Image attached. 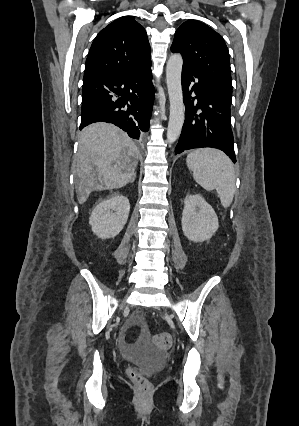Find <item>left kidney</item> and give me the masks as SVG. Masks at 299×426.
Here are the masks:
<instances>
[{
	"label": "left kidney",
	"instance_id": "5707ae66",
	"mask_svg": "<svg viewBox=\"0 0 299 426\" xmlns=\"http://www.w3.org/2000/svg\"><path fill=\"white\" fill-rule=\"evenodd\" d=\"M181 224L184 235L193 242L210 239L219 227L212 206L198 194L185 197Z\"/></svg>",
	"mask_w": 299,
	"mask_h": 426
}]
</instances>
